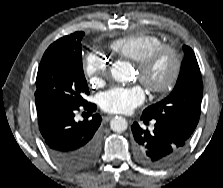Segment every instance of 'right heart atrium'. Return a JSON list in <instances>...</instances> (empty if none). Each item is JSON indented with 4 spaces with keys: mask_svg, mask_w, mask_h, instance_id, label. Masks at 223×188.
I'll list each match as a JSON object with an SVG mask.
<instances>
[{
    "mask_svg": "<svg viewBox=\"0 0 223 188\" xmlns=\"http://www.w3.org/2000/svg\"><path fill=\"white\" fill-rule=\"evenodd\" d=\"M84 74L92 85H99L108 72V61L95 52L86 55L83 63Z\"/></svg>",
    "mask_w": 223,
    "mask_h": 188,
    "instance_id": "obj_1",
    "label": "right heart atrium"
}]
</instances>
